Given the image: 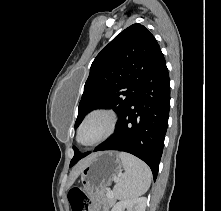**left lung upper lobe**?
Returning <instances> with one entry per match:
<instances>
[{
  "mask_svg": "<svg viewBox=\"0 0 221 211\" xmlns=\"http://www.w3.org/2000/svg\"><path fill=\"white\" fill-rule=\"evenodd\" d=\"M160 52L154 36L140 24L129 26L114 38L91 65L75 128L87 113L97 108L113 109L120 120ZM73 149L75 155L70 167L89 154Z\"/></svg>",
  "mask_w": 221,
  "mask_h": 211,
  "instance_id": "5c2ea615",
  "label": "left lung upper lobe"
}]
</instances>
